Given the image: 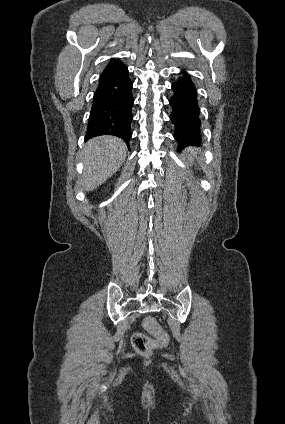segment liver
Listing matches in <instances>:
<instances>
[{
	"label": "liver",
	"mask_w": 285,
	"mask_h": 424,
	"mask_svg": "<svg viewBox=\"0 0 285 424\" xmlns=\"http://www.w3.org/2000/svg\"><path fill=\"white\" fill-rule=\"evenodd\" d=\"M125 142L115 136H99L84 147V173L81 184L85 191H93L111 177L125 160Z\"/></svg>",
	"instance_id": "1"
}]
</instances>
